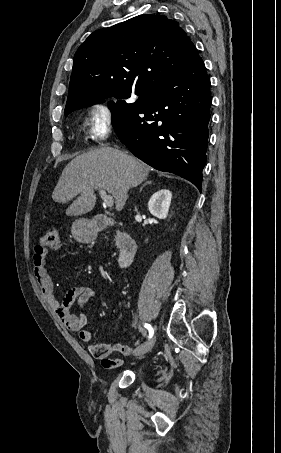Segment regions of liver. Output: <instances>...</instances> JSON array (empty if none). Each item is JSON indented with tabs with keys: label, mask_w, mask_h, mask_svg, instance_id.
Here are the masks:
<instances>
[{
	"label": "liver",
	"mask_w": 281,
	"mask_h": 453,
	"mask_svg": "<svg viewBox=\"0 0 281 453\" xmlns=\"http://www.w3.org/2000/svg\"><path fill=\"white\" fill-rule=\"evenodd\" d=\"M151 166L113 146H99L72 158L65 166L53 192L55 202L76 200L68 206V216H79L93 210L94 190H108L115 198L116 210H122L128 190L141 184L149 176Z\"/></svg>",
	"instance_id": "1"
}]
</instances>
